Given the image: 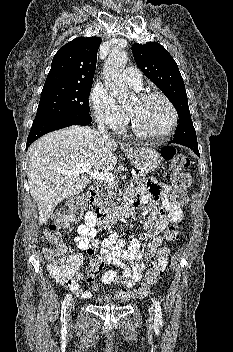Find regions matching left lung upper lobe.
<instances>
[{
  "mask_svg": "<svg viewBox=\"0 0 233 352\" xmlns=\"http://www.w3.org/2000/svg\"><path fill=\"white\" fill-rule=\"evenodd\" d=\"M132 53L145 76L162 90L177 110L179 124L172 141L174 143L197 141L185 85L175 60L156 42L144 45L135 43L132 45Z\"/></svg>",
  "mask_w": 233,
  "mask_h": 352,
  "instance_id": "1",
  "label": "left lung upper lobe"
}]
</instances>
